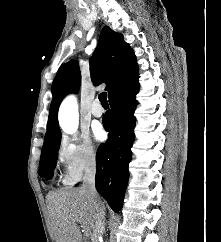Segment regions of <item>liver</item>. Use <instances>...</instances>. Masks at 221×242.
Segmentation results:
<instances>
[{"label": "liver", "mask_w": 221, "mask_h": 242, "mask_svg": "<svg viewBox=\"0 0 221 242\" xmlns=\"http://www.w3.org/2000/svg\"><path fill=\"white\" fill-rule=\"evenodd\" d=\"M47 203L56 242H82L80 227L94 232L96 209L82 188L50 192Z\"/></svg>", "instance_id": "obj_1"}]
</instances>
